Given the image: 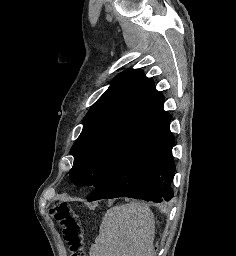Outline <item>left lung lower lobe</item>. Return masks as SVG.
Returning <instances> with one entry per match:
<instances>
[{
    "instance_id": "obj_1",
    "label": "left lung lower lobe",
    "mask_w": 236,
    "mask_h": 256,
    "mask_svg": "<svg viewBox=\"0 0 236 256\" xmlns=\"http://www.w3.org/2000/svg\"><path fill=\"white\" fill-rule=\"evenodd\" d=\"M170 120L171 116L163 107L146 120L129 139L116 164L88 201L116 197L154 202H161L162 198L170 200L175 173Z\"/></svg>"
}]
</instances>
